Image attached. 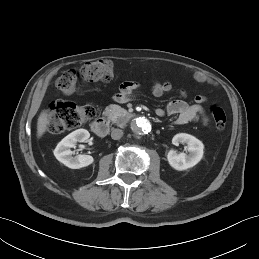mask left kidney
Returning a JSON list of instances; mask_svg holds the SVG:
<instances>
[{
    "instance_id": "5707ae66",
    "label": "left kidney",
    "mask_w": 259,
    "mask_h": 259,
    "mask_svg": "<svg viewBox=\"0 0 259 259\" xmlns=\"http://www.w3.org/2000/svg\"><path fill=\"white\" fill-rule=\"evenodd\" d=\"M172 143L178 145L179 143L187 144L189 154L177 153L175 150H170L167 155V160L172 168L178 171L186 170L195 166L203 157L204 145L196 137L180 133L176 134Z\"/></svg>"
}]
</instances>
